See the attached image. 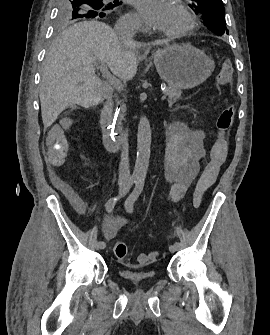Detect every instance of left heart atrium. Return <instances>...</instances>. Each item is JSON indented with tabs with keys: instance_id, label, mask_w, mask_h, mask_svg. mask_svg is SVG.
<instances>
[{
	"instance_id": "left-heart-atrium-1",
	"label": "left heart atrium",
	"mask_w": 270,
	"mask_h": 335,
	"mask_svg": "<svg viewBox=\"0 0 270 335\" xmlns=\"http://www.w3.org/2000/svg\"><path fill=\"white\" fill-rule=\"evenodd\" d=\"M135 6L145 20L148 35L156 37L162 33H172L175 9L164 0H136Z\"/></svg>"
}]
</instances>
